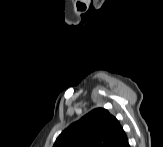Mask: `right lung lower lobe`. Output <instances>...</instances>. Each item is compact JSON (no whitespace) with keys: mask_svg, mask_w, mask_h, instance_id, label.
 Masks as SVG:
<instances>
[{"mask_svg":"<svg viewBox=\"0 0 163 147\" xmlns=\"http://www.w3.org/2000/svg\"><path fill=\"white\" fill-rule=\"evenodd\" d=\"M114 147H129L127 136L125 135L122 139H120Z\"/></svg>","mask_w":163,"mask_h":147,"instance_id":"1","label":"right lung lower lobe"}]
</instances>
